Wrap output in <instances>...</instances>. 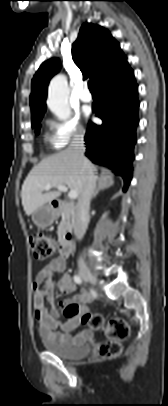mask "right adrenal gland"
<instances>
[{
	"label": "right adrenal gland",
	"instance_id": "1",
	"mask_svg": "<svg viewBox=\"0 0 168 406\" xmlns=\"http://www.w3.org/2000/svg\"><path fill=\"white\" fill-rule=\"evenodd\" d=\"M97 180H98V186H97V188H96V190H95V192H94V194L92 196L93 199L97 196V194L101 190L107 189V188H109V187H111L113 185L112 180L107 179V178H105L103 176L97 178Z\"/></svg>",
	"mask_w": 168,
	"mask_h": 406
}]
</instances>
